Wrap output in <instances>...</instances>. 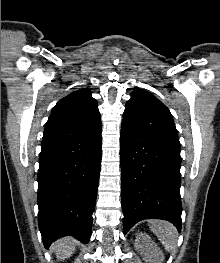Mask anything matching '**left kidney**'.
Listing matches in <instances>:
<instances>
[{"label":"left kidney","instance_id":"1","mask_svg":"<svg viewBox=\"0 0 220 263\" xmlns=\"http://www.w3.org/2000/svg\"><path fill=\"white\" fill-rule=\"evenodd\" d=\"M135 248L141 253L144 259L149 260L151 263H162L164 259V255L160 248L145 233H137Z\"/></svg>","mask_w":220,"mask_h":263}]
</instances>
